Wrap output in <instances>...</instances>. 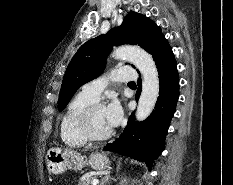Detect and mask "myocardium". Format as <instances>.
<instances>
[{
	"label": "myocardium",
	"instance_id": "obj_1",
	"mask_svg": "<svg viewBox=\"0 0 233 185\" xmlns=\"http://www.w3.org/2000/svg\"><path fill=\"white\" fill-rule=\"evenodd\" d=\"M97 108H104V105L100 102L93 101L82 110L77 120L78 130L86 142H102L111 138L114 133L113 129H111L105 135L97 136L93 134L90 127V117Z\"/></svg>",
	"mask_w": 233,
	"mask_h": 185
}]
</instances>
